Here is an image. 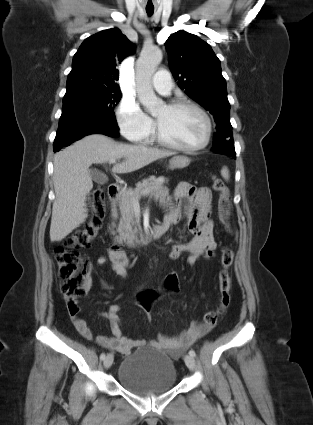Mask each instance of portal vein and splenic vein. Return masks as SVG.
Wrapping results in <instances>:
<instances>
[{
    "label": "portal vein and splenic vein",
    "instance_id": "1",
    "mask_svg": "<svg viewBox=\"0 0 313 425\" xmlns=\"http://www.w3.org/2000/svg\"><path fill=\"white\" fill-rule=\"evenodd\" d=\"M109 163H110V164H115V163H116V160H110V161H109ZM134 206H135L136 208H139L138 202H135V203H134Z\"/></svg>",
    "mask_w": 313,
    "mask_h": 425
}]
</instances>
